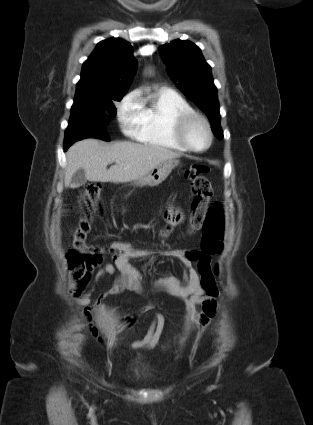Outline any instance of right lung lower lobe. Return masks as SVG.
<instances>
[{"label": "right lung lower lobe", "mask_w": 313, "mask_h": 425, "mask_svg": "<svg viewBox=\"0 0 313 425\" xmlns=\"http://www.w3.org/2000/svg\"><path fill=\"white\" fill-rule=\"evenodd\" d=\"M103 124L91 118H79L75 124L68 125L65 131V151L76 141L84 138H99L109 141L106 132L103 130Z\"/></svg>", "instance_id": "1"}]
</instances>
